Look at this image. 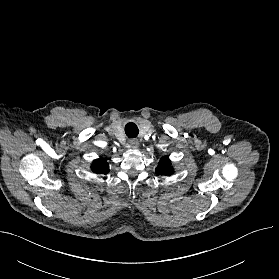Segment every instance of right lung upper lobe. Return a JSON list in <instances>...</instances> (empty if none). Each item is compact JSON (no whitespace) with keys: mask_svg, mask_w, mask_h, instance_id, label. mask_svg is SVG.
<instances>
[{"mask_svg":"<svg viewBox=\"0 0 279 279\" xmlns=\"http://www.w3.org/2000/svg\"><path fill=\"white\" fill-rule=\"evenodd\" d=\"M91 169L94 173L106 174L109 172V165L106 160L96 159L93 161Z\"/></svg>","mask_w":279,"mask_h":279,"instance_id":"right-lung-upper-lobe-1","label":"right lung upper lobe"}]
</instances>
